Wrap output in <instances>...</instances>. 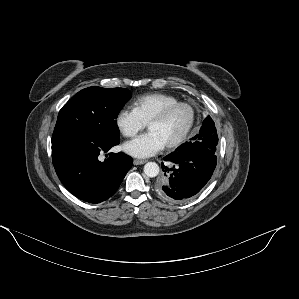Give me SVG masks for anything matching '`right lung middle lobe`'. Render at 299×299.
I'll return each instance as SVG.
<instances>
[{
	"label": "right lung middle lobe",
	"mask_w": 299,
	"mask_h": 299,
	"mask_svg": "<svg viewBox=\"0 0 299 299\" xmlns=\"http://www.w3.org/2000/svg\"><path fill=\"white\" fill-rule=\"evenodd\" d=\"M130 97L124 88L93 86L81 90L61 108L52 144L76 137L119 141L116 118Z\"/></svg>",
	"instance_id": "obj_1"
}]
</instances>
